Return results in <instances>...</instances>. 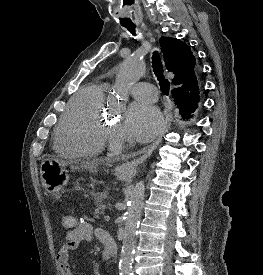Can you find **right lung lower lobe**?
Here are the masks:
<instances>
[{"label":"right lung lower lobe","mask_w":263,"mask_h":275,"mask_svg":"<svg viewBox=\"0 0 263 275\" xmlns=\"http://www.w3.org/2000/svg\"><path fill=\"white\" fill-rule=\"evenodd\" d=\"M198 75L199 74H198L197 69H194V71L191 74L192 80H195V79L197 80ZM172 97H173L177 107L180 109V114L182 115V117L184 119L188 118V116L191 117L190 113H187L183 108V103L186 100L185 90L183 88L173 89Z\"/></svg>","instance_id":"right-lung-lower-lobe-1"}]
</instances>
